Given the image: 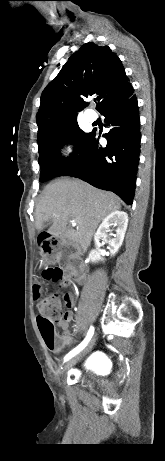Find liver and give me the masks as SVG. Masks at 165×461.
I'll return each mask as SVG.
<instances>
[{"instance_id":"6515ba94","label":"liver","mask_w":165,"mask_h":461,"mask_svg":"<svg viewBox=\"0 0 165 461\" xmlns=\"http://www.w3.org/2000/svg\"><path fill=\"white\" fill-rule=\"evenodd\" d=\"M121 208L119 199L110 192L98 190L80 180L63 178L48 184L36 206L35 227L42 230L52 221L48 233L64 236L86 250L99 223ZM70 218L76 230L68 227Z\"/></svg>"}]
</instances>
